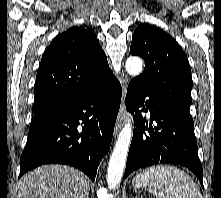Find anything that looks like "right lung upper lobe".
I'll return each mask as SVG.
<instances>
[{"mask_svg":"<svg viewBox=\"0 0 221 198\" xmlns=\"http://www.w3.org/2000/svg\"><path fill=\"white\" fill-rule=\"evenodd\" d=\"M116 79L94 31L72 27L45 50L36 76L32 121Z\"/></svg>","mask_w":221,"mask_h":198,"instance_id":"cb5924a9","label":"right lung upper lobe"}]
</instances>
